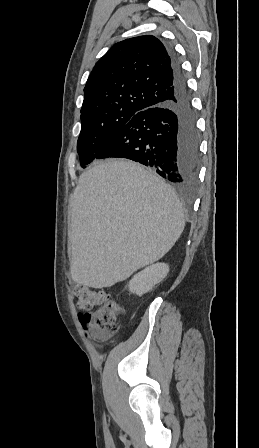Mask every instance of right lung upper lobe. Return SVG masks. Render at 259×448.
<instances>
[{
  "instance_id": "1",
  "label": "right lung upper lobe",
  "mask_w": 259,
  "mask_h": 448,
  "mask_svg": "<svg viewBox=\"0 0 259 448\" xmlns=\"http://www.w3.org/2000/svg\"><path fill=\"white\" fill-rule=\"evenodd\" d=\"M168 50L152 35L116 43L95 65L84 88L81 115L143 111L173 97Z\"/></svg>"
}]
</instances>
